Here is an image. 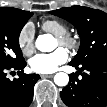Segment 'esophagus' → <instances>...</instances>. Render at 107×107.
<instances>
[{"mask_svg": "<svg viewBox=\"0 0 107 107\" xmlns=\"http://www.w3.org/2000/svg\"><path fill=\"white\" fill-rule=\"evenodd\" d=\"M54 75L53 74H42V78H52Z\"/></svg>", "mask_w": 107, "mask_h": 107, "instance_id": "esophagus-1", "label": "esophagus"}]
</instances>
